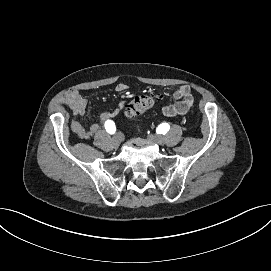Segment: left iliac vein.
Masks as SVG:
<instances>
[{
	"label": "left iliac vein",
	"mask_w": 271,
	"mask_h": 271,
	"mask_svg": "<svg viewBox=\"0 0 271 271\" xmlns=\"http://www.w3.org/2000/svg\"><path fill=\"white\" fill-rule=\"evenodd\" d=\"M147 139L149 142L156 143L159 145H164V143H165V137L162 135H156V134L149 135Z\"/></svg>",
	"instance_id": "4c4485c4"
}]
</instances>
